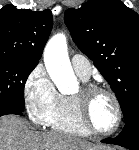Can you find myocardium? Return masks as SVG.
<instances>
[{
	"instance_id": "f54148a6",
	"label": "myocardium",
	"mask_w": 139,
	"mask_h": 150,
	"mask_svg": "<svg viewBox=\"0 0 139 150\" xmlns=\"http://www.w3.org/2000/svg\"><path fill=\"white\" fill-rule=\"evenodd\" d=\"M98 94H106L112 99L115 105L116 122L113 128L108 131H100L96 129L90 119V103L93 97ZM75 100L79 119L85 129L90 132V134L96 136H111L115 134L121 127L123 121L122 106L117 95L110 89L98 85L88 84L82 87L80 92L75 96Z\"/></svg>"
}]
</instances>
